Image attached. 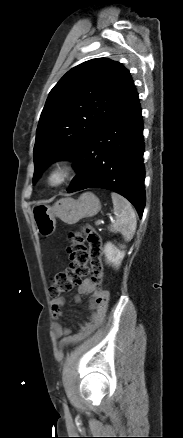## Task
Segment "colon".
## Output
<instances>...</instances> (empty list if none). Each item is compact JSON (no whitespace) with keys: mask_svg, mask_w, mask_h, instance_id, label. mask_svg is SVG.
<instances>
[{"mask_svg":"<svg viewBox=\"0 0 183 438\" xmlns=\"http://www.w3.org/2000/svg\"><path fill=\"white\" fill-rule=\"evenodd\" d=\"M68 254L70 264L66 271L56 274L49 288L54 298L69 292L87 275L91 276L95 290L102 291L101 238L89 225L71 232ZM90 264V266H89Z\"/></svg>","mask_w":183,"mask_h":438,"instance_id":"obj_1","label":"colon"}]
</instances>
